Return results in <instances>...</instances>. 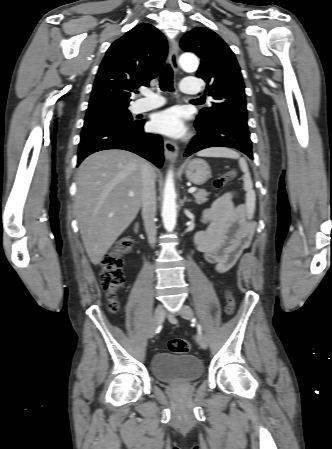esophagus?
I'll return each instance as SVG.
<instances>
[{
	"label": "esophagus",
	"instance_id": "1",
	"mask_svg": "<svg viewBox=\"0 0 332 449\" xmlns=\"http://www.w3.org/2000/svg\"><path fill=\"white\" fill-rule=\"evenodd\" d=\"M178 51L179 46L177 41H173L170 45L169 49V62L172 66V69L175 73L179 71V64H178ZM164 152L167 159L171 160L177 157L178 155V147L177 145L170 141L165 140L164 141Z\"/></svg>",
	"mask_w": 332,
	"mask_h": 449
}]
</instances>
